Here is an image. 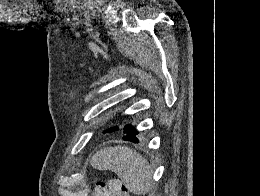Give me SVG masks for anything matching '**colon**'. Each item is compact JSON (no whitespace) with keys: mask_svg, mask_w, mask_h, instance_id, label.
Masks as SVG:
<instances>
[{"mask_svg":"<svg viewBox=\"0 0 260 196\" xmlns=\"http://www.w3.org/2000/svg\"><path fill=\"white\" fill-rule=\"evenodd\" d=\"M111 193H112V195H113V196H115V195H116V194H115V193H113V192H111Z\"/></svg>","mask_w":260,"mask_h":196,"instance_id":"1","label":"colon"}]
</instances>
